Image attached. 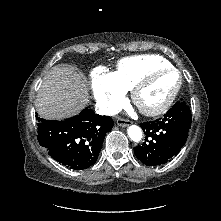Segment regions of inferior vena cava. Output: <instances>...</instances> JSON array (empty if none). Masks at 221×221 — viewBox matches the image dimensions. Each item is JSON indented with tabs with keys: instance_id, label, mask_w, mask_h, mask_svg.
<instances>
[{
	"instance_id": "obj_1",
	"label": "inferior vena cava",
	"mask_w": 221,
	"mask_h": 221,
	"mask_svg": "<svg viewBox=\"0 0 221 221\" xmlns=\"http://www.w3.org/2000/svg\"><path fill=\"white\" fill-rule=\"evenodd\" d=\"M96 111L98 114L100 115H116L119 113V108L112 106L110 104L107 103H97L96 104Z\"/></svg>"
}]
</instances>
